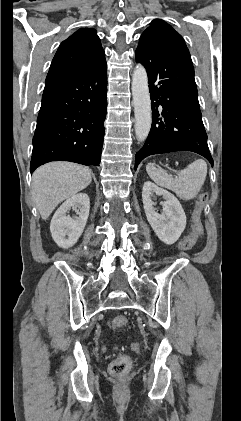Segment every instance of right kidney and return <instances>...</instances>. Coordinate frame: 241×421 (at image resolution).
<instances>
[{"label":"right kidney","mask_w":241,"mask_h":421,"mask_svg":"<svg viewBox=\"0 0 241 421\" xmlns=\"http://www.w3.org/2000/svg\"><path fill=\"white\" fill-rule=\"evenodd\" d=\"M75 210L77 216L70 217L67 213ZM90 210V200L87 194L79 193L67 199L55 212L50 231L53 240L62 248L72 247L85 228Z\"/></svg>","instance_id":"right-kidney-1"}]
</instances>
